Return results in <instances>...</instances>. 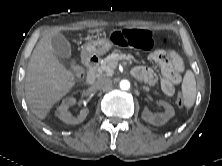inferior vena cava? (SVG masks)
Instances as JSON below:
<instances>
[{"label": "inferior vena cava", "mask_w": 222, "mask_h": 166, "mask_svg": "<svg viewBox=\"0 0 222 166\" xmlns=\"http://www.w3.org/2000/svg\"><path fill=\"white\" fill-rule=\"evenodd\" d=\"M96 87L101 90H110L112 88V80L110 78H101L97 80Z\"/></svg>", "instance_id": "602c4592"}]
</instances>
